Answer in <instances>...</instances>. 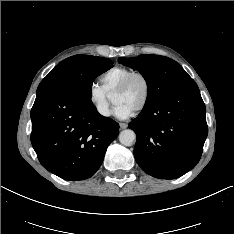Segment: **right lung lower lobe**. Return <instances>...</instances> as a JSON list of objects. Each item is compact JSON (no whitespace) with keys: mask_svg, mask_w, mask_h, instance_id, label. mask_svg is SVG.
Wrapping results in <instances>:
<instances>
[{"mask_svg":"<svg viewBox=\"0 0 234 234\" xmlns=\"http://www.w3.org/2000/svg\"><path fill=\"white\" fill-rule=\"evenodd\" d=\"M31 120V143L40 163L66 180L94 175L119 134L117 122L69 89L37 93Z\"/></svg>","mask_w":234,"mask_h":234,"instance_id":"obj_1","label":"right lung lower lobe"}]
</instances>
